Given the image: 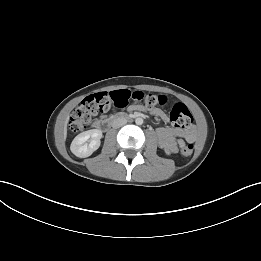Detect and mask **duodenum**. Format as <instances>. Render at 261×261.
Here are the masks:
<instances>
[{
	"label": "duodenum",
	"instance_id": "duodenum-1",
	"mask_svg": "<svg viewBox=\"0 0 261 261\" xmlns=\"http://www.w3.org/2000/svg\"><path fill=\"white\" fill-rule=\"evenodd\" d=\"M120 119H126V120H130L132 119L131 116L128 115H124V114H117L112 118L109 119H103V120H99L95 123V127L101 131H107L110 129V127L112 126L113 122L116 120H120Z\"/></svg>",
	"mask_w": 261,
	"mask_h": 261
}]
</instances>
